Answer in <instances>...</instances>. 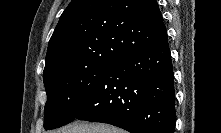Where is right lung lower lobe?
Returning a JSON list of instances; mask_svg holds the SVG:
<instances>
[{
	"instance_id": "obj_1",
	"label": "right lung lower lobe",
	"mask_w": 221,
	"mask_h": 133,
	"mask_svg": "<svg viewBox=\"0 0 221 133\" xmlns=\"http://www.w3.org/2000/svg\"><path fill=\"white\" fill-rule=\"evenodd\" d=\"M75 119L108 123L131 133H174V73L168 41L111 63Z\"/></svg>"
}]
</instances>
